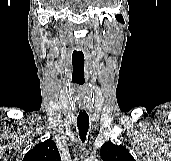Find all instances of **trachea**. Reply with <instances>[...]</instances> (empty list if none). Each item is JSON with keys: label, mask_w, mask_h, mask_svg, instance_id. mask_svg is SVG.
<instances>
[{"label": "trachea", "mask_w": 171, "mask_h": 161, "mask_svg": "<svg viewBox=\"0 0 171 161\" xmlns=\"http://www.w3.org/2000/svg\"><path fill=\"white\" fill-rule=\"evenodd\" d=\"M77 126L79 129V136L82 142H85L86 135L89 129V116L86 112H80L77 117Z\"/></svg>", "instance_id": "1"}]
</instances>
